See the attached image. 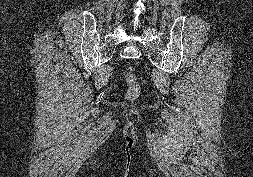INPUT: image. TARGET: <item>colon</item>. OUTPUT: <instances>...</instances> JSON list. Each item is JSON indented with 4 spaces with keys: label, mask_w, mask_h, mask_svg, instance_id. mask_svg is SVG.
<instances>
[{
    "label": "colon",
    "mask_w": 253,
    "mask_h": 177,
    "mask_svg": "<svg viewBox=\"0 0 253 177\" xmlns=\"http://www.w3.org/2000/svg\"><path fill=\"white\" fill-rule=\"evenodd\" d=\"M124 77L128 87L127 97L133 100L137 98L140 93V85L138 79L135 76V74L131 71H126Z\"/></svg>",
    "instance_id": "1"
}]
</instances>
